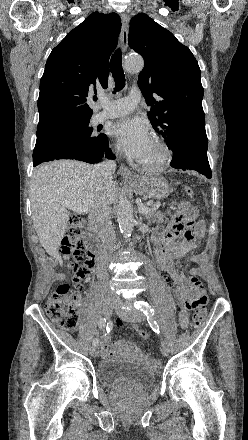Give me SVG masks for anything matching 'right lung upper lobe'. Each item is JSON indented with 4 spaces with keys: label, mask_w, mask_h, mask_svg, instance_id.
<instances>
[{
    "label": "right lung upper lobe",
    "mask_w": 248,
    "mask_h": 440,
    "mask_svg": "<svg viewBox=\"0 0 248 440\" xmlns=\"http://www.w3.org/2000/svg\"><path fill=\"white\" fill-rule=\"evenodd\" d=\"M120 27L116 13L93 12L53 49L40 81L38 131L92 116L87 101L96 84L108 86L109 58Z\"/></svg>",
    "instance_id": "1"
}]
</instances>
